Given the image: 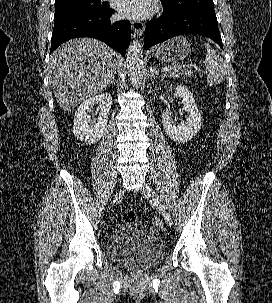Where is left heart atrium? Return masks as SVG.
Instances as JSON below:
<instances>
[{
    "mask_svg": "<svg viewBox=\"0 0 272 303\" xmlns=\"http://www.w3.org/2000/svg\"><path fill=\"white\" fill-rule=\"evenodd\" d=\"M118 13L130 19H144L154 10L153 0H117Z\"/></svg>",
    "mask_w": 272,
    "mask_h": 303,
    "instance_id": "obj_1",
    "label": "left heart atrium"
}]
</instances>
